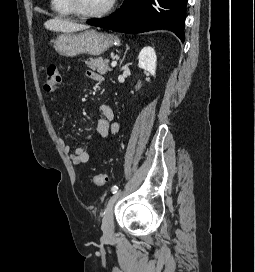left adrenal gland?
<instances>
[{
  "label": "left adrenal gland",
  "instance_id": "a2214340",
  "mask_svg": "<svg viewBox=\"0 0 255 272\" xmlns=\"http://www.w3.org/2000/svg\"><path fill=\"white\" fill-rule=\"evenodd\" d=\"M128 50H129V46L126 45V51H125V53H124L123 58H122L121 61H120V67H121V65H122V63H123V61H124V59H125V56H126V53H127Z\"/></svg>",
  "mask_w": 255,
  "mask_h": 272
}]
</instances>
